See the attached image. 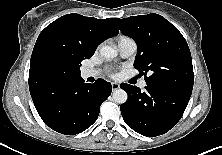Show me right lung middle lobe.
I'll use <instances>...</instances> for the list:
<instances>
[{"label":"right lung middle lobe","instance_id":"right-lung-middle-lobe-1","mask_svg":"<svg viewBox=\"0 0 222 155\" xmlns=\"http://www.w3.org/2000/svg\"><path fill=\"white\" fill-rule=\"evenodd\" d=\"M48 58L65 78L80 76L81 61L85 59L64 37H58L51 41L48 46Z\"/></svg>","mask_w":222,"mask_h":155}]
</instances>
